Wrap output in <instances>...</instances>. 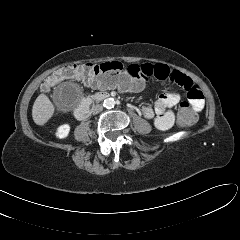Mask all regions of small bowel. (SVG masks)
Returning <instances> with one entry per match:
<instances>
[{"instance_id": "small-bowel-1", "label": "small bowel", "mask_w": 240, "mask_h": 240, "mask_svg": "<svg viewBox=\"0 0 240 240\" xmlns=\"http://www.w3.org/2000/svg\"><path fill=\"white\" fill-rule=\"evenodd\" d=\"M132 72L139 77V82L131 90L140 91L143 88V81L149 78H157L165 81L170 80L177 86L181 87L187 92V99L195 113L200 112L204 107V96L200 89H198L191 78L177 70L170 69L167 65L162 63L151 64L143 63L130 66ZM95 88H109L107 86L91 85ZM180 94L175 91H166L159 95L154 107L143 106L141 114L146 119H153L154 126L158 130H168L172 127L175 116L173 108L180 101Z\"/></svg>"}]
</instances>
